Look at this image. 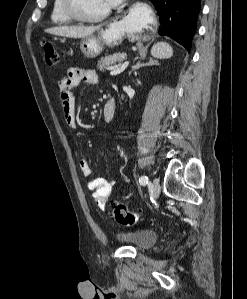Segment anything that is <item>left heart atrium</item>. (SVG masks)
<instances>
[{
    "label": "left heart atrium",
    "mask_w": 247,
    "mask_h": 299,
    "mask_svg": "<svg viewBox=\"0 0 247 299\" xmlns=\"http://www.w3.org/2000/svg\"><path fill=\"white\" fill-rule=\"evenodd\" d=\"M122 0H108L109 6L114 7L118 5Z\"/></svg>",
    "instance_id": "1"
}]
</instances>
